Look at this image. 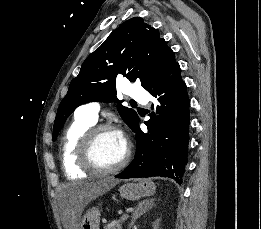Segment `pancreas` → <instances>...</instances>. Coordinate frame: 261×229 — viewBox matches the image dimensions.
I'll return each instance as SVG.
<instances>
[{
  "instance_id": "1",
  "label": "pancreas",
  "mask_w": 261,
  "mask_h": 229,
  "mask_svg": "<svg viewBox=\"0 0 261 229\" xmlns=\"http://www.w3.org/2000/svg\"><path fill=\"white\" fill-rule=\"evenodd\" d=\"M125 217H121V219H119V221H112V223H110V225H106V227H104V229H122L121 225H122V219Z\"/></svg>"
}]
</instances>
